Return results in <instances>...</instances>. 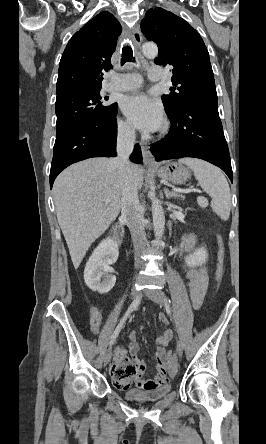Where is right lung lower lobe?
Segmentation results:
<instances>
[{"instance_id": "obj_1", "label": "right lung lower lobe", "mask_w": 266, "mask_h": 444, "mask_svg": "<svg viewBox=\"0 0 266 444\" xmlns=\"http://www.w3.org/2000/svg\"><path fill=\"white\" fill-rule=\"evenodd\" d=\"M116 113L110 118L89 125L76 127L56 138L50 170V187L55 178L69 165L92 157L116 156ZM134 163L142 162L139 145L130 157Z\"/></svg>"}]
</instances>
